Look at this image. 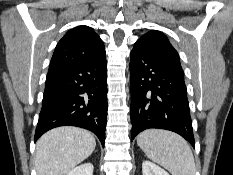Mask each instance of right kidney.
<instances>
[{
	"mask_svg": "<svg viewBox=\"0 0 233 175\" xmlns=\"http://www.w3.org/2000/svg\"><path fill=\"white\" fill-rule=\"evenodd\" d=\"M67 175H93V165L85 163L71 170Z\"/></svg>",
	"mask_w": 233,
	"mask_h": 175,
	"instance_id": "1",
	"label": "right kidney"
}]
</instances>
